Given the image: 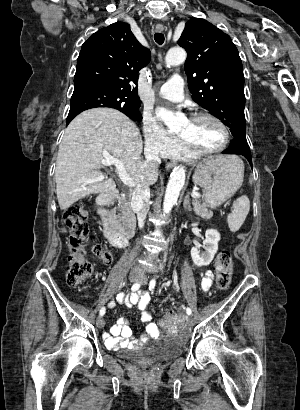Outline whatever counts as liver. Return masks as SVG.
<instances>
[{"instance_id":"obj_1","label":"liver","mask_w":300,"mask_h":410,"mask_svg":"<svg viewBox=\"0 0 300 410\" xmlns=\"http://www.w3.org/2000/svg\"><path fill=\"white\" fill-rule=\"evenodd\" d=\"M142 138L136 124L111 108H95L75 117L65 130L59 146L55 180L61 210L78 200L116 189L112 179L100 171L103 152L122 162L135 183L153 185L158 169L144 167L141 160Z\"/></svg>"}]
</instances>
